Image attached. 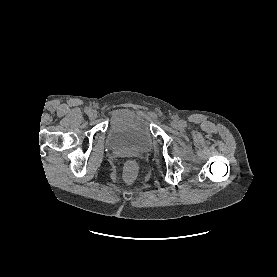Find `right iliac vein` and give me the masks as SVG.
<instances>
[{"mask_svg": "<svg viewBox=\"0 0 277 277\" xmlns=\"http://www.w3.org/2000/svg\"><path fill=\"white\" fill-rule=\"evenodd\" d=\"M89 118L94 120L97 118V111L95 110H92L90 113H89Z\"/></svg>", "mask_w": 277, "mask_h": 277, "instance_id": "right-iliac-vein-1", "label": "right iliac vein"}]
</instances>
